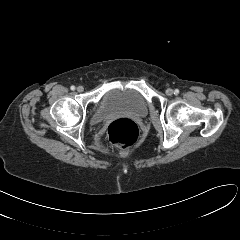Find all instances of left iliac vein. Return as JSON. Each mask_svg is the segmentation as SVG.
Segmentation results:
<instances>
[{
    "label": "left iliac vein",
    "mask_w": 240,
    "mask_h": 240,
    "mask_svg": "<svg viewBox=\"0 0 240 240\" xmlns=\"http://www.w3.org/2000/svg\"><path fill=\"white\" fill-rule=\"evenodd\" d=\"M173 93H174V91H173L171 88H168V89L166 90V94H167L168 96H171Z\"/></svg>",
    "instance_id": "4c4485c4"
}]
</instances>
